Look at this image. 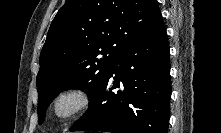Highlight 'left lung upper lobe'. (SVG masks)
Here are the masks:
<instances>
[{
	"instance_id": "1",
	"label": "left lung upper lobe",
	"mask_w": 221,
	"mask_h": 133,
	"mask_svg": "<svg viewBox=\"0 0 221 133\" xmlns=\"http://www.w3.org/2000/svg\"><path fill=\"white\" fill-rule=\"evenodd\" d=\"M160 18L156 0H66L40 54L39 123L64 90L79 88L91 102L123 48Z\"/></svg>"
}]
</instances>
